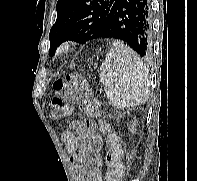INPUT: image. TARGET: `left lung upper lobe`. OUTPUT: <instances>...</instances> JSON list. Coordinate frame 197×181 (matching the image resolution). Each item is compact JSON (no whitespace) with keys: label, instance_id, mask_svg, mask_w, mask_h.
Instances as JSON below:
<instances>
[{"label":"left lung upper lobe","instance_id":"left-lung-upper-lobe-1","mask_svg":"<svg viewBox=\"0 0 197 181\" xmlns=\"http://www.w3.org/2000/svg\"><path fill=\"white\" fill-rule=\"evenodd\" d=\"M116 0H58L57 19L49 34L50 56L64 41L97 39L104 19Z\"/></svg>","mask_w":197,"mask_h":181}]
</instances>
